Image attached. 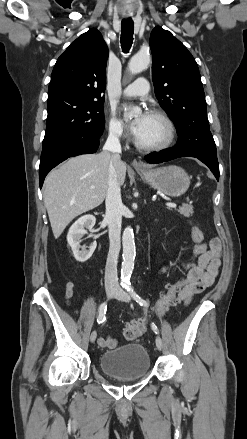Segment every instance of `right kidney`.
<instances>
[{
	"label": "right kidney",
	"instance_id": "ca27d5eb",
	"mask_svg": "<svg viewBox=\"0 0 247 439\" xmlns=\"http://www.w3.org/2000/svg\"><path fill=\"white\" fill-rule=\"evenodd\" d=\"M96 223V218L93 215H84L80 217L75 223L70 227L67 234V241L69 246L73 251V255L78 262L87 261L96 249L97 243L94 241L91 243L87 249L84 245L82 250H80V242L82 237L87 234V230H91Z\"/></svg>",
	"mask_w": 247,
	"mask_h": 439
}]
</instances>
